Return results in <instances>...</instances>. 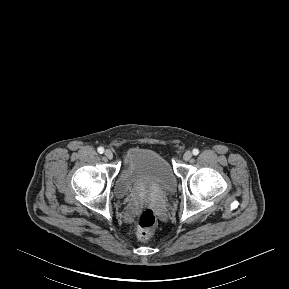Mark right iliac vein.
<instances>
[{
	"label": "right iliac vein",
	"instance_id": "obj_1",
	"mask_svg": "<svg viewBox=\"0 0 289 289\" xmlns=\"http://www.w3.org/2000/svg\"><path fill=\"white\" fill-rule=\"evenodd\" d=\"M105 157L108 159H112L113 158V153L111 150L107 149L104 153Z\"/></svg>",
	"mask_w": 289,
	"mask_h": 289
}]
</instances>
